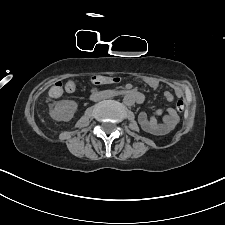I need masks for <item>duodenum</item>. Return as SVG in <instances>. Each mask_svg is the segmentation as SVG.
<instances>
[{
	"label": "duodenum",
	"instance_id": "410a0bca",
	"mask_svg": "<svg viewBox=\"0 0 225 225\" xmlns=\"http://www.w3.org/2000/svg\"><path fill=\"white\" fill-rule=\"evenodd\" d=\"M119 94L124 95L127 100H130L133 103L140 104L143 102V95L136 91H101L93 93V97L105 99Z\"/></svg>",
	"mask_w": 225,
	"mask_h": 225
}]
</instances>
